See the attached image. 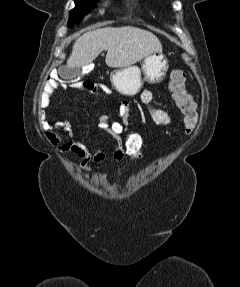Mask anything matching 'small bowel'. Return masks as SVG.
<instances>
[{
    "instance_id": "c3829d8e",
    "label": "small bowel",
    "mask_w": 240,
    "mask_h": 287,
    "mask_svg": "<svg viewBox=\"0 0 240 287\" xmlns=\"http://www.w3.org/2000/svg\"><path fill=\"white\" fill-rule=\"evenodd\" d=\"M60 87H65L64 84L59 83L54 78H49L45 88L42 91L39 106L41 109H48L51 105L53 94ZM101 91L107 96H113V91L106 85H98L92 90L97 94ZM141 102L145 110L149 113L152 121L159 126H169L172 123L171 116L163 109L157 108L153 105V93L150 90H143L140 95ZM117 115L119 122L128 126L130 116V104L127 100L120 99L117 107ZM109 116H100L97 128L100 132L110 136L114 141V148L112 152L113 159L119 163L124 158V152L121 144V139L115 137L109 127ZM48 140L59 146L61 152H69L76 155L80 160V166L85 171L91 170V164H100L105 159V152L100 148L90 150L82 141L75 138L72 125L67 120L57 121L48 133Z\"/></svg>"
}]
</instances>
